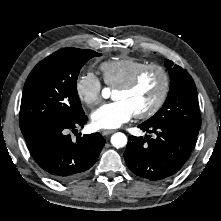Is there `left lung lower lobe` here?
<instances>
[{
	"instance_id": "1",
	"label": "left lung lower lobe",
	"mask_w": 221,
	"mask_h": 221,
	"mask_svg": "<svg viewBox=\"0 0 221 221\" xmlns=\"http://www.w3.org/2000/svg\"><path fill=\"white\" fill-rule=\"evenodd\" d=\"M139 128L156 134L131 136L124 152L129 169L137 176L150 181H163L176 175L187 162L197 141V135L173 124H147Z\"/></svg>"
}]
</instances>
